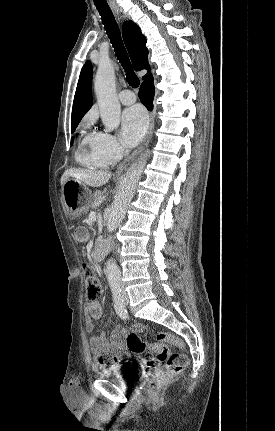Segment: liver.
<instances>
[{"label": "liver", "instance_id": "obj_1", "mask_svg": "<svg viewBox=\"0 0 275 431\" xmlns=\"http://www.w3.org/2000/svg\"><path fill=\"white\" fill-rule=\"evenodd\" d=\"M70 177L91 187H101L111 178V173L105 171L68 169L61 177V186H63Z\"/></svg>", "mask_w": 275, "mask_h": 431}]
</instances>
